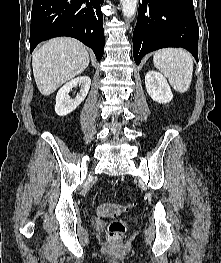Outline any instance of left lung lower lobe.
Masks as SVG:
<instances>
[{"label":"left lung lower lobe","instance_id":"0a47b994","mask_svg":"<svg viewBox=\"0 0 221 263\" xmlns=\"http://www.w3.org/2000/svg\"><path fill=\"white\" fill-rule=\"evenodd\" d=\"M198 37L192 0H139L133 32L137 65L147 53L165 47L185 48L198 61Z\"/></svg>","mask_w":221,"mask_h":263}]
</instances>
